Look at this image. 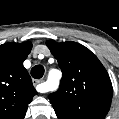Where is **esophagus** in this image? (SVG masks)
<instances>
[{"instance_id":"obj_1","label":"esophagus","mask_w":119,"mask_h":119,"mask_svg":"<svg viewBox=\"0 0 119 119\" xmlns=\"http://www.w3.org/2000/svg\"><path fill=\"white\" fill-rule=\"evenodd\" d=\"M41 82H43V80H36V79H34V80H33V85L37 86V85H39Z\"/></svg>"}]
</instances>
